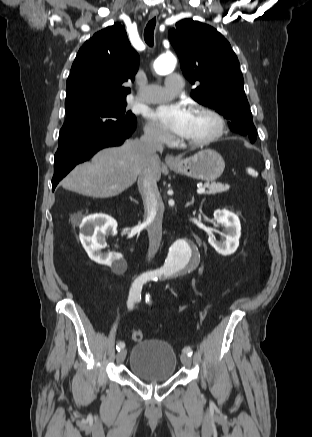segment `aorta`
I'll list each match as a JSON object with an SVG mask.
<instances>
[{
	"instance_id": "1",
	"label": "aorta",
	"mask_w": 312,
	"mask_h": 437,
	"mask_svg": "<svg viewBox=\"0 0 312 437\" xmlns=\"http://www.w3.org/2000/svg\"><path fill=\"white\" fill-rule=\"evenodd\" d=\"M176 65V58L170 54L159 56L154 62V70L159 75L171 73ZM198 260V251L186 240L175 241L170 247L161 272L170 276L189 270Z\"/></svg>"
}]
</instances>
